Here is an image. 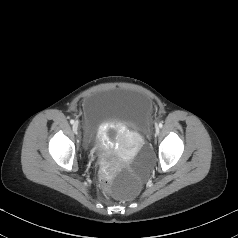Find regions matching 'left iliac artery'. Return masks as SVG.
Segmentation results:
<instances>
[{
  "mask_svg": "<svg viewBox=\"0 0 238 238\" xmlns=\"http://www.w3.org/2000/svg\"><path fill=\"white\" fill-rule=\"evenodd\" d=\"M159 127L162 128V127H163V124H162V123H159Z\"/></svg>",
  "mask_w": 238,
  "mask_h": 238,
  "instance_id": "left-iliac-artery-1",
  "label": "left iliac artery"
}]
</instances>
